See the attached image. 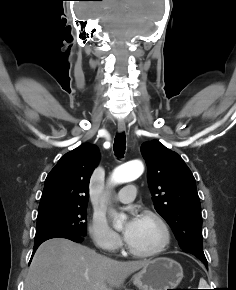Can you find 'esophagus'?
<instances>
[{
    "label": "esophagus",
    "mask_w": 236,
    "mask_h": 290,
    "mask_svg": "<svg viewBox=\"0 0 236 290\" xmlns=\"http://www.w3.org/2000/svg\"><path fill=\"white\" fill-rule=\"evenodd\" d=\"M126 130V125H125V122L123 120H120L118 122V131L120 133L124 132Z\"/></svg>",
    "instance_id": "obj_1"
}]
</instances>
